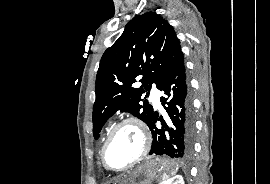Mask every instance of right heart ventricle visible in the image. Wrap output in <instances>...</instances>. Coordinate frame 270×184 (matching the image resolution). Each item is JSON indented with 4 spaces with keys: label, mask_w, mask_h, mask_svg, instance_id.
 Masks as SVG:
<instances>
[{
    "label": "right heart ventricle",
    "mask_w": 270,
    "mask_h": 184,
    "mask_svg": "<svg viewBox=\"0 0 270 184\" xmlns=\"http://www.w3.org/2000/svg\"><path fill=\"white\" fill-rule=\"evenodd\" d=\"M112 127H113V126H112V123H108V124H107V126H106V128H105V132H104V142H105V140H106L108 134L110 133ZM104 142H103V144H104Z\"/></svg>",
    "instance_id": "1"
}]
</instances>
